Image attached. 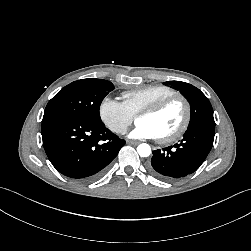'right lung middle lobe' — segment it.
I'll use <instances>...</instances> for the list:
<instances>
[{
    "label": "right lung middle lobe",
    "mask_w": 251,
    "mask_h": 251,
    "mask_svg": "<svg viewBox=\"0 0 251 251\" xmlns=\"http://www.w3.org/2000/svg\"><path fill=\"white\" fill-rule=\"evenodd\" d=\"M114 85L103 79H81L62 88L47 104L43 118L54 115L101 121L99 108Z\"/></svg>",
    "instance_id": "dd1d6c3e"
}]
</instances>
